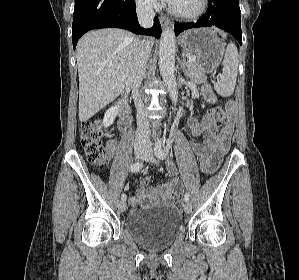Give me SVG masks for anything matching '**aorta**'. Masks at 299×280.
I'll return each instance as SVG.
<instances>
[{
	"instance_id": "1",
	"label": "aorta",
	"mask_w": 299,
	"mask_h": 280,
	"mask_svg": "<svg viewBox=\"0 0 299 280\" xmlns=\"http://www.w3.org/2000/svg\"><path fill=\"white\" fill-rule=\"evenodd\" d=\"M175 33L172 28L164 30L159 46V68L161 76L168 88L170 98L177 103L178 90L175 78Z\"/></svg>"
}]
</instances>
